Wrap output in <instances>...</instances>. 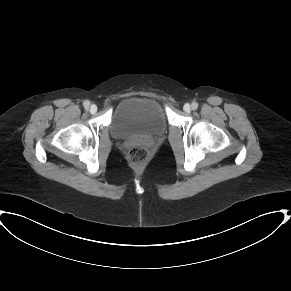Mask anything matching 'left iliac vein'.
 Segmentation results:
<instances>
[{
	"mask_svg": "<svg viewBox=\"0 0 291 291\" xmlns=\"http://www.w3.org/2000/svg\"><path fill=\"white\" fill-rule=\"evenodd\" d=\"M183 110L185 111V112H190V110H191V108H190V105L189 104H185L184 106H183Z\"/></svg>",
	"mask_w": 291,
	"mask_h": 291,
	"instance_id": "left-iliac-vein-1",
	"label": "left iliac vein"
}]
</instances>
